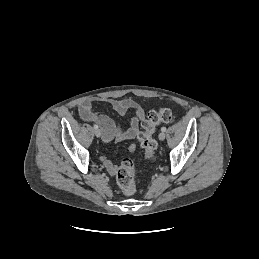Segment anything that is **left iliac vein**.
<instances>
[{"mask_svg": "<svg viewBox=\"0 0 259 259\" xmlns=\"http://www.w3.org/2000/svg\"><path fill=\"white\" fill-rule=\"evenodd\" d=\"M166 135L164 132H160L158 135L159 140L163 141L165 139Z\"/></svg>", "mask_w": 259, "mask_h": 259, "instance_id": "4c4485c4", "label": "left iliac vein"}]
</instances>
